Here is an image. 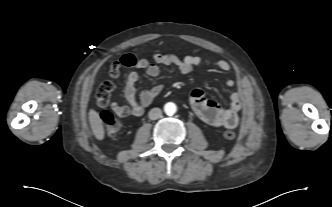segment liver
Instances as JSON below:
<instances>
[{
  "label": "liver",
  "mask_w": 332,
  "mask_h": 207,
  "mask_svg": "<svg viewBox=\"0 0 332 207\" xmlns=\"http://www.w3.org/2000/svg\"><path fill=\"white\" fill-rule=\"evenodd\" d=\"M89 123L95 138L103 140L105 135L103 122L99 113H97L94 109H90L89 111Z\"/></svg>",
  "instance_id": "obj_1"
}]
</instances>
